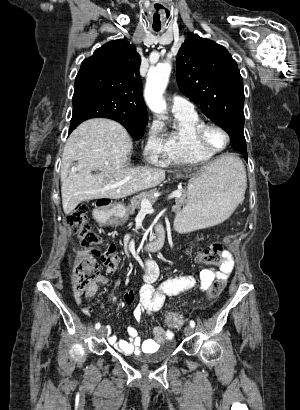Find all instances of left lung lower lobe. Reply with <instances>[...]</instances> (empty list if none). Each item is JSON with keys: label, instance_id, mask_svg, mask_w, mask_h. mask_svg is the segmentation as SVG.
<instances>
[{"label": "left lung lower lobe", "instance_id": "obj_1", "mask_svg": "<svg viewBox=\"0 0 300 410\" xmlns=\"http://www.w3.org/2000/svg\"><path fill=\"white\" fill-rule=\"evenodd\" d=\"M245 160L247 161V156H244Z\"/></svg>", "mask_w": 300, "mask_h": 410}]
</instances>
